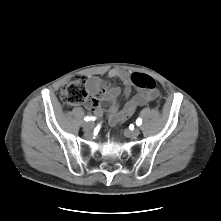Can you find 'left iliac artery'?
<instances>
[{"instance_id":"1","label":"left iliac artery","mask_w":221,"mask_h":221,"mask_svg":"<svg viewBox=\"0 0 221 221\" xmlns=\"http://www.w3.org/2000/svg\"><path fill=\"white\" fill-rule=\"evenodd\" d=\"M136 124H137L138 126H140V125L142 124V119H141V118H138V119L136 120Z\"/></svg>"}]
</instances>
